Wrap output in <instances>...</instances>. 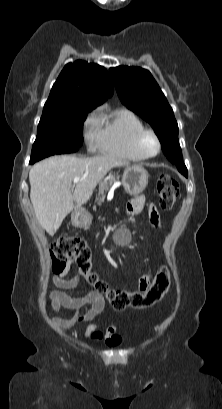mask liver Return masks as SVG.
I'll use <instances>...</instances> for the list:
<instances>
[{
    "label": "liver",
    "instance_id": "1",
    "mask_svg": "<svg viewBox=\"0 0 222 409\" xmlns=\"http://www.w3.org/2000/svg\"><path fill=\"white\" fill-rule=\"evenodd\" d=\"M128 165L108 155L53 156L35 164L29 173L30 199L39 224L53 236L74 206L85 204L112 168ZM76 177L81 180L73 185Z\"/></svg>",
    "mask_w": 222,
    "mask_h": 409
}]
</instances>
